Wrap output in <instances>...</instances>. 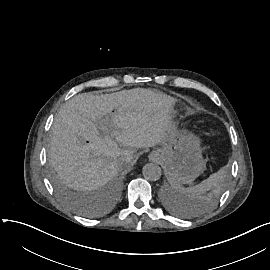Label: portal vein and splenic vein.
<instances>
[{"instance_id": "portal-vein-and-splenic-vein-1", "label": "portal vein and splenic vein", "mask_w": 270, "mask_h": 270, "mask_svg": "<svg viewBox=\"0 0 270 270\" xmlns=\"http://www.w3.org/2000/svg\"><path fill=\"white\" fill-rule=\"evenodd\" d=\"M100 122H102L99 126V130L101 131V135H107L110 134L112 132L110 126H107V119L106 118H102L100 120Z\"/></svg>"}]
</instances>
